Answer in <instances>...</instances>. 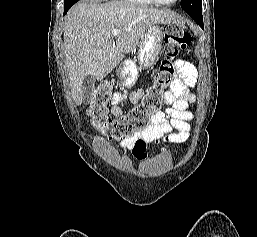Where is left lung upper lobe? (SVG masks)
<instances>
[{
  "mask_svg": "<svg viewBox=\"0 0 257 237\" xmlns=\"http://www.w3.org/2000/svg\"><path fill=\"white\" fill-rule=\"evenodd\" d=\"M181 8L190 16H202V1L201 0H181Z\"/></svg>",
  "mask_w": 257,
  "mask_h": 237,
  "instance_id": "1",
  "label": "left lung upper lobe"
}]
</instances>
